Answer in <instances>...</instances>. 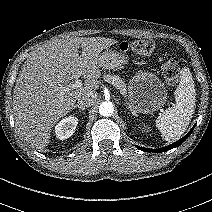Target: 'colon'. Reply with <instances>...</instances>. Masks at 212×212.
I'll return each instance as SVG.
<instances>
[{
  "label": "colon",
  "mask_w": 212,
  "mask_h": 212,
  "mask_svg": "<svg viewBox=\"0 0 212 212\" xmlns=\"http://www.w3.org/2000/svg\"><path fill=\"white\" fill-rule=\"evenodd\" d=\"M122 51H133L143 55H152L156 53V46L150 40H138L133 42H124L120 45ZM162 63V74L168 83H174L179 75V64L176 58L163 55L160 57Z\"/></svg>",
  "instance_id": "colon-1"
}]
</instances>
